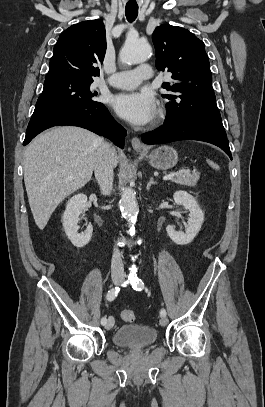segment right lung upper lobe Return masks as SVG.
Masks as SVG:
<instances>
[{
    "label": "right lung upper lobe",
    "mask_w": 265,
    "mask_h": 407,
    "mask_svg": "<svg viewBox=\"0 0 265 407\" xmlns=\"http://www.w3.org/2000/svg\"><path fill=\"white\" fill-rule=\"evenodd\" d=\"M106 33L101 19L83 21L63 31L55 44L45 79L93 80L103 63Z\"/></svg>",
    "instance_id": "cb5924a9"
}]
</instances>
